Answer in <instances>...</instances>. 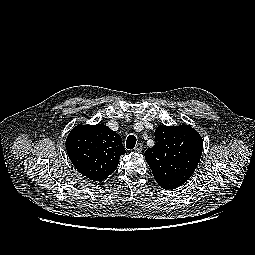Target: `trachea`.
Returning <instances> with one entry per match:
<instances>
[{"label": "trachea", "mask_w": 255, "mask_h": 255, "mask_svg": "<svg viewBox=\"0 0 255 255\" xmlns=\"http://www.w3.org/2000/svg\"><path fill=\"white\" fill-rule=\"evenodd\" d=\"M136 144V137L134 135L128 136L126 140V148L127 149H133Z\"/></svg>", "instance_id": "trachea-1"}]
</instances>
